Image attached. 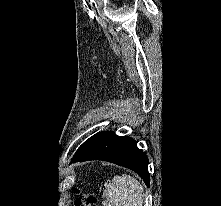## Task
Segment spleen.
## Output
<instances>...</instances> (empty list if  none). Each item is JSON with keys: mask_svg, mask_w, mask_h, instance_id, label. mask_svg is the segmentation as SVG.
I'll return each instance as SVG.
<instances>
[{"mask_svg": "<svg viewBox=\"0 0 221 206\" xmlns=\"http://www.w3.org/2000/svg\"><path fill=\"white\" fill-rule=\"evenodd\" d=\"M105 187L103 206H143V186L134 177L116 175Z\"/></svg>", "mask_w": 221, "mask_h": 206, "instance_id": "spleen-1", "label": "spleen"}]
</instances>
